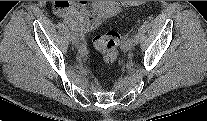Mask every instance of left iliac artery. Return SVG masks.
Returning a JSON list of instances; mask_svg holds the SVG:
<instances>
[{
	"label": "left iliac artery",
	"mask_w": 207,
	"mask_h": 121,
	"mask_svg": "<svg viewBox=\"0 0 207 121\" xmlns=\"http://www.w3.org/2000/svg\"><path fill=\"white\" fill-rule=\"evenodd\" d=\"M131 37L134 40V42L137 44L138 43L137 36L135 34H132Z\"/></svg>",
	"instance_id": "obj_1"
}]
</instances>
